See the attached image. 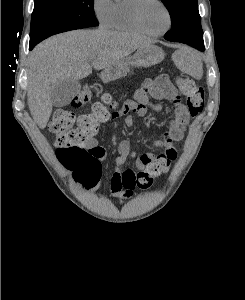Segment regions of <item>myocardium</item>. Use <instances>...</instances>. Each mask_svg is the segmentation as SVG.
<instances>
[{
	"instance_id": "f54148a6",
	"label": "myocardium",
	"mask_w": 245,
	"mask_h": 300,
	"mask_svg": "<svg viewBox=\"0 0 245 300\" xmlns=\"http://www.w3.org/2000/svg\"><path fill=\"white\" fill-rule=\"evenodd\" d=\"M149 1L155 2L160 5L166 13L167 16V25L161 31H150L144 24L142 18V11L145 4ZM132 18L136 26L144 33L150 36H160L167 32L172 25V15L168 8V6L162 0H134V4L132 5Z\"/></svg>"
}]
</instances>
